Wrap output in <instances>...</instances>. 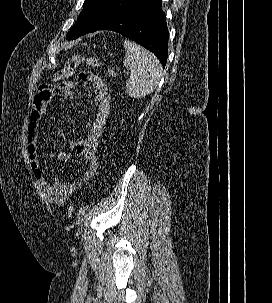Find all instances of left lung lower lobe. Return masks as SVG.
Returning <instances> with one entry per match:
<instances>
[{"label":"left lung lower lobe","instance_id":"obj_1","mask_svg":"<svg viewBox=\"0 0 272 303\" xmlns=\"http://www.w3.org/2000/svg\"><path fill=\"white\" fill-rule=\"evenodd\" d=\"M161 4L162 0H142L101 22L87 33L97 30L118 32L153 52L165 66L168 57V28Z\"/></svg>","mask_w":272,"mask_h":303}]
</instances>
